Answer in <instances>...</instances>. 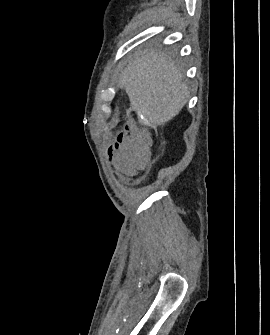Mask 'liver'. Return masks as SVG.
Here are the masks:
<instances>
[{"label": "liver", "instance_id": "obj_1", "mask_svg": "<svg viewBox=\"0 0 270 335\" xmlns=\"http://www.w3.org/2000/svg\"><path fill=\"white\" fill-rule=\"evenodd\" d=\"M182 78L175 62L155 48L128 62L120 86L126 90L131 110L142 114L147 126H156L175 118L187 104L190 92Z\"/></svg>", "mask_w": 270, "mask_h": 335}]
</instances>
